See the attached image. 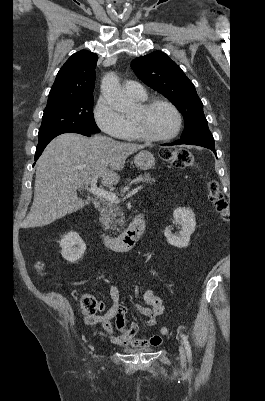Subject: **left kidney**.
<instances>
[{
    "label": "left kidney",
    "mask_w": 265,
    "mask_h": 401,
    "mask_svg": "<svg viewBox=\"0 0 265 401\" xmlns=\"http://www.w3.org/2000/svg\"><path fill=\"white\" fill-rule=\"evenodd\" d=\"M173 217L174 225H180L181 231L179 235H172L171 229H165L164 235L169 245L178 247V249H184V247H188L190 237L195 231V215L191 209H182V207H178V209H175Z\"/></svg>",
    "instance_id": "left-kidney-1"
}]
</instances>
